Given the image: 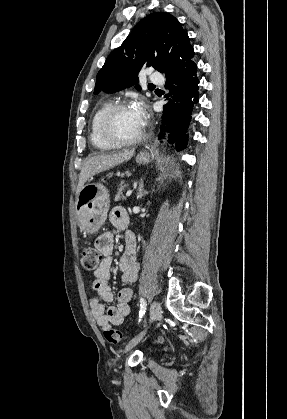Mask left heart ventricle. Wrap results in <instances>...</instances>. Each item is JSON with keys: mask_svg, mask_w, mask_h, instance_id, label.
I'll return each instance as SVG.
<instances>
[{"mask_svg": "<svg viewBox=\"0 0 287 419\" xmlns=\"http://www.w3.org/2000/svg\"><path fill=\"white\" fill-rule=\"evenodd\" d=\"M143 129V124L136 118L131 108L117 112L112 121V130L121 138H133Z\"/></svg>", "mask_w": 287, "mask_h": 419, "instance_id": "b2bd125f", "label": "left heart ventricle"}]
</instances>
